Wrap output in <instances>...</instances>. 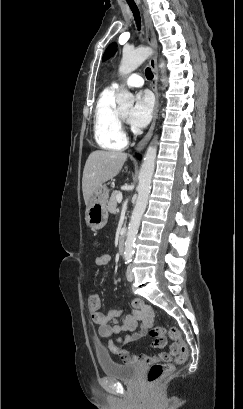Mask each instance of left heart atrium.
<instances>
[{
    "mask_svg": "<svg viewBox=\"0 0 243 409\" xmlns=\"http://www.w3.org/2000/svg\"><path fill=\"white\" fill-rule=\"evenodd\" d=\"M153 112V100L148 91H141L136 96V101L133 107L130 109L127 120L132 127L143 128L145 127Z\"/></svg>",
    "mask_w": 243,
    "mask_h": 409,
    "instance_id": "obj_1",
    "label": "left heart atrium"
}]
</instances>
